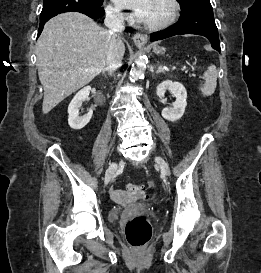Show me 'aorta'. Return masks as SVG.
Segmentation results:
<instances>
[{
    "label": "aorta",
    "instance_id": "aorta-1",
    "mask_svg": "<svg viewBox=\"0 0 261 273\" xmlns=\"http://www.w3.org/2000/svg\"><path fill=\"white\" fill-rule=\"evenodd\" d=\"M147 63L146 55L140 53L135 59V66L131 69L130 76L132 80H137L143 75Z\"/></svg>",
    "mask_w": 261,
    "mask_h": 273
}]
</instances>
